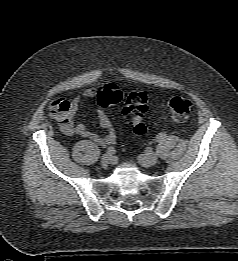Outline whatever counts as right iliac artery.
I'll return each mask as SVG.
<instances>
[{
    "mask_svg": "<svg viewBox=\"0 0 238 261\" xmlns=\"http://www.w3.org/2000/svg\"><path fill=\"white\" fill-rule=\"evenodd\" d=\"M115 152H116V150L114 149V147H109V148L107 149V153L110 154V155L115 154Z\"/></svg>",
    "mask_w": 238,
    "mask_h": 261,
    "instance_id": "82829eb1",
    "label": "right iliac artery"
}]
</instances>
